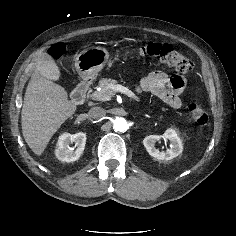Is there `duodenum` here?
<instances>
[{"mask_svg": "<svg viewBox=\"0 0 236 236\" xmlns=\"http://www.w3.org/2000/svg\"><path fill=\"white\" fill-rule=\"evenodd\" d=\"M89 85H90V82L86 78L81 79L77 83V85L71 95L73 102H75L77 104H82L85 102L86 96L88 93V89H89Z\"/></svg>", "mask_w": 236, "mask_h": 236, "instance_id": "1", "label": "duodenum"}]
</instances>
